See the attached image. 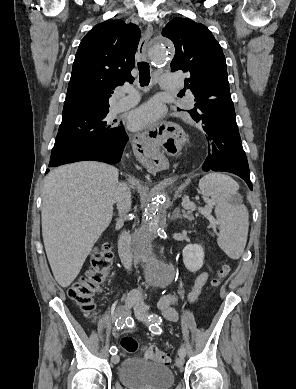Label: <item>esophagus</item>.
<instances>
[{
	"instance_id": "34e87169",
	"label": "esophagus",
	"mask_w": 296,
	"mask_h": 389,
	"mask_svg": "<svg viewBox=\"0 0 296 389\" xmlns=\"http://www.w3.org/2000/svg\"><path fill=\"white\" fill-rule=\"evenodd\" d=\"M152 34L153 27L148 24L138 45L136 55L138 60H147V47ZM181 127L182 122L179 118H167L160 126H149L146 131L133 135L131 143L136 149L138 161L143 169L166 168V157L156 147L155 139H172L175 131H179Z\"/></svg>"
}]
</instances>
